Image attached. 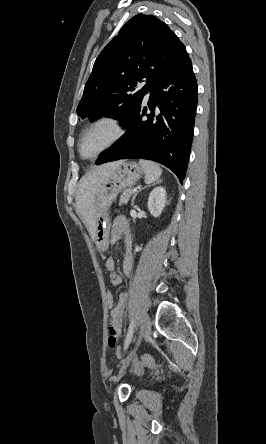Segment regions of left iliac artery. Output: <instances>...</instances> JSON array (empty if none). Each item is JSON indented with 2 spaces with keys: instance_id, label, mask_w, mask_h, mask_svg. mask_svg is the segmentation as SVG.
I'll return each instance as SVG.
<instances>
[{
  "instance_id": "1",
  "label": "left iliac artery",
  "mask_w": 266,
  "mask_h": 444,
  "mask_svg": "<svg viewBox=\"0 0 266 444\" xmlns=\"http://www.w3.org/2000/svg\"><path fill=\"white\" fill-rule=\"evenodd\" d=\"M133 332H134V322L133 320L130 323L129 329H128V333L125 339V343H124V350H126L131 342V339L133 337Z\"/></svg>"
}]
</instances>
